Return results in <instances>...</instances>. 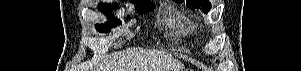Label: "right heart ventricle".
Wrapping results in <instances>:
<instances>
[{
    "instance_id": "1",
    "label": "right heart ventricle",
    "mask_w": 301,
    "mask_h": 71,
    "mask_svg": "<svg viewBox=\"0 0 301 71\" xmlns=\"http://www.w3.org/2000/svg\"><path fill=\"white\" fill-rule=\"evenodd\" d=\"M166 24L169 28L173 29L178 34H183L186 32V27L183 21L177 16H168L166 18Z\"/></svg>"
}]
</instances>
